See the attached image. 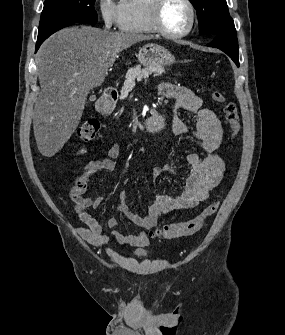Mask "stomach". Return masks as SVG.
Segmentation results:
<instances>
[{"instance_id": "0dacf381", "label": "stomach", "mask_w": 285, "mask_h": 335, "mask_svg": "<svg viewBox=\"0 0 285 335\" xmlns=\"http://www.w3.org/2000/svg\"><path fill=\"white\" fill-rule=\"evenodd\" d=\"M138 62L142 66H171L175 62V56L158 44H146L138 52ZM104 110H107V104H103Z\"/></svg>"}]
</instances>
